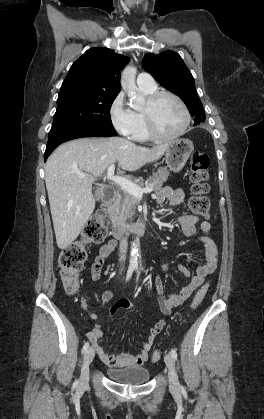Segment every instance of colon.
Listing matches in <instances>:
<instances>
[{
    "instance_id": "colon-1",
    "label": "colon",
    "mask_w": 264,
    "mask_h": 419,
    "mask_svg": "<svg viewBox=\"0 0 264 419\" xmlns=\"http://www.w3.org/2000/svg\"><path fill=\"white\" fill-rule=\"evenodd\" d=\"M209 158L206 153L195 150L190 156V181L192 197L190 199L191 210L198 215H204L209 210V200L206 194L209 191L208 179ZM107 221L102 212L95 213L83 228L81 239L74 241L64 248L58 258L60 276L65 291L75 294L79 290V272L81 271L87 252L85 244L100 243L107 235ZM208 285H203L196 293L191 307L197 308L204 299ZM159 351H154L152 361L160 359Z\"/></svg>"
}]
</instances>
